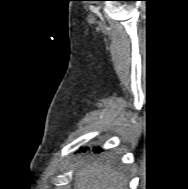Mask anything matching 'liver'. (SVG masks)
<instances>
[{"label":"liver","instance_id":"1","mask_svg":"<svg viewBox=\"0 0 188 189\" xmlns=\"http://www.w3.org/2000/svg\"><path fill=\"white\" fill-rule=\"evenodd\" d=\"M74 189H127V179L109 164L79 161Z\"/></svg>","mask_w":188,"mask_h":189}]
</instances>
